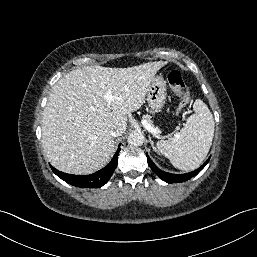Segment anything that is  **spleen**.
Here are the masks:
<instances>
[{"label": "spleen", "instance_id": "obj_1", "mask_svg": "<svg viewBox=\"0 0 257 257\" xmlns=\"http://www.w3.org/2000/svg\"><path fill=\"white\" fill-rule=\"evenodd\" d=\"M195 113L175 138L157 142V149L173 166L189 171L200 166L207 156L214 136V119L207 105L197 99L193 105Z\"/></svg>", "mask_w": 257, "mask_h": 257}]
</instances>
